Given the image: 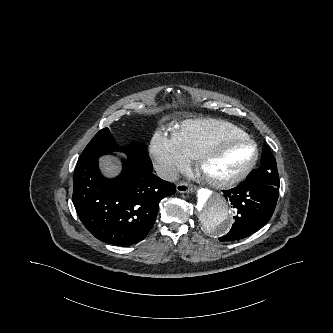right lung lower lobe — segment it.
<instances>
[{"label":"right lung lower lobe","mask_w":333,"mask_h":333,"mask_svg":"<svg viewBox=\"0 0 333 333\" xmlns=\"http://www.w3.org/2000/svg\"><path fill=\"white\" fill-rule=\"evenodd\" d=\"M100 156L78 160L72 197L76 212L97 239L116 246L136 244L153 226L159 202L176 188L152 173L148 156H128L121 174L106 179L98 168Z\"/></svg>","instance_id":"obj_1"}]
</instances>
